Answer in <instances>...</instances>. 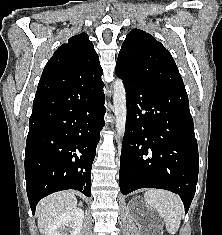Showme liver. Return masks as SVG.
Returning a JSON list of instances; mask_svg holds the SVG:
<instances>
[{
    "label": "liver",
    "mask_w": 222,
    "mask_h": 235,
    "mask_svg": "<svg viewBox=\"0 0 222 235\" xmlns=\"http://www.w3.org/2000/svg\"><path fill=\"white\" fill-rule=\"evenodd\" d=\"M77 207L74 193L63 191L54 193L42 199L38 206V228L40 233H46L48 226L62 214H66Z\"/></svg>",
    "instance_id": "liver-1"
}]
</instances>
